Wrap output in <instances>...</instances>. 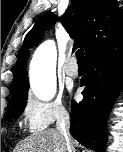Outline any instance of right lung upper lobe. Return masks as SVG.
<instances>
[{"label":"right lung upper lobe","mask_w":123,"mask_h":152,"mask_svg":"<svg viewBox=\"0 0 123 152\" xmlns=\"http://www.w3.org/2000/svg\"><path fill=\"white\" fill-rule=\"evenodd\" d=\"M57 20L53 13L47 12L34 24L25 36L15 66L11 92L29 86L27 60L29 49L36 46ZM123 11L117 0H72L61 17V22L71 37L76 38L74 47L85 48L86 58L123 33Z\"/></svg>","instance_id":"right-lung-upper-lobe-1"}]
</instances>
